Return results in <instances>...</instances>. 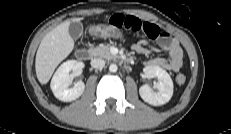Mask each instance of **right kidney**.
<instances>
[{
    "label": "right kidney",
    "instance_id": "1",
    "mask_svg": "<svg viewBox=\"0 0 231 134\" xmlns=\"http://www.w3.org/2000/svg\"><path fill=\"white\" fill-rule=\"evenodd\" d=\"M84 68V63L76 60H68L64 62L55 72L51 80V90L54 96L64 102H70L79 98L85 89L82 81L74 83L73 88H69L72 81L69 73L79 75Z\"/></svg>",
    "mask_w": 231,
    "mask_h": 134
}]
</instances>
